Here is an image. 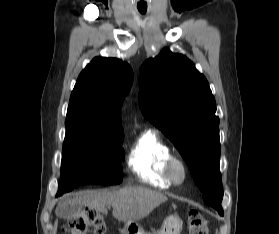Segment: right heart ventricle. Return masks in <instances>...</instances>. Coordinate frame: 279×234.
Wrapping results in <instances>:
<instances>
[{
  "label": "right heart ventricle",
  "instance_id": "right-heart-ventricle-1",
  "mask_svg": "<svg viewBox=\"0 0 279 234\" xmlns=\"http://www.w3.org/2000/svg\"><path fill=\"white\" fill-rule=\"evenodd\" d=\"M171 155L169 147L155 133L146 131L131 146L126 161L141 182L168 188L171 183L166 177L165 163Z\"/></svg>",
  "mask_w": 279,
  "mask_h": 234
}]
</instances>
